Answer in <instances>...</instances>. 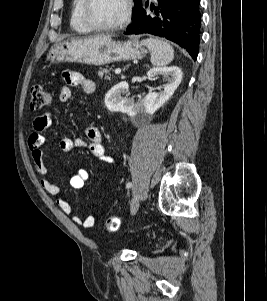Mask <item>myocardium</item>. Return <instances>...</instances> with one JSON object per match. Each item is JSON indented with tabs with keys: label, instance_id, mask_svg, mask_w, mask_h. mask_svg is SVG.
I'll use <instances>...</instances> for the list:
<instances>
[{
	"label": "myocardium",
	"instance_id": "f54148a6",
	"mask_svg": "<svg viewBox=\"0 0 267 301\" xmlns=\"http://www.w3.org/2000/svg\"><path fill=\"white\" fill-rule=\"evenodd\" d=\"M93 0H84L83 7H82V14L85 22L96 31H104V32H110V31H116L124 26H126L131 18L132 10H133V2L132 0H124V12L122 17L119 21H117L114 24L109 25H102L97 23L91 16L90 10L92 7Z\"/></svg>",
	"mask_w": 267,
	"mask_h": 301
}]
</instances>
